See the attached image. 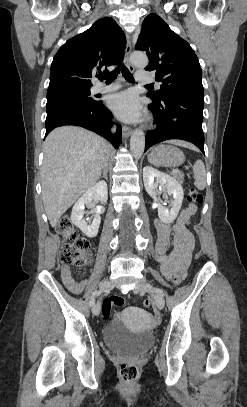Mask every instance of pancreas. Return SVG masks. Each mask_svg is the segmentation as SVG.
Masks as SVG:
<instances>
[{
  "mask_svg": "<svg viewBox=\"0 0 247 407\" xmlns=\"http://www.w3.org/2000/svg\"><path fill=\"white\" fill-rule=\"evenodd\" d=\"M171 174L176 180H178L180 183H183L184 175L181 172L173 171Z\"/></svg>",
  "mask_w": 247,
  "mask_h": 407,
  "instance_id": "pancreas-1",
  "label": "pancreas"
}]
</instances>
